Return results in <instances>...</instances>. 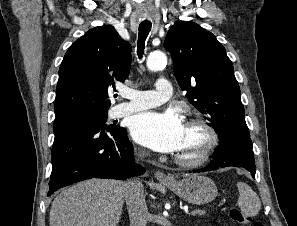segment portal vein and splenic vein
Masks as SVG:
<instances>
[{
	"label": "portal vein and splenic vein",
	"mask_w": 297,
	"mask_h": 226,
	"mask_svg": "<svg viewBox=\"0 0 297 226\" xmlns=\"http://www.w3.org/2000/svg\"><path fill=\"white\" fill-rule=\"evenodd\" d=\"M197 211H201V210H199V209H198V210H193V211H191L190 214H191V215H195Z\"/></svg>",
	"instance_id": "18ae733b"
}]
</instances>
